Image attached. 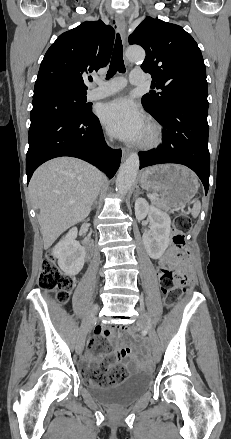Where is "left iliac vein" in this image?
<instances>
[{
	"label": "left iliac vein",
	"mask_w": 231,
	"mask_h": 439,
	"mask_svg": "<svg viewBox=\"0 0 231 439\" xmlns=\"http://www.w3.org/2000/svg\"><path fill=\"white\" fill-rule=\"evenodd\" d=\"M139 317H138V325L147 329L149 333V340L152 348V356L155 362H157L160 358V341L158 335L152 326L148 314L144 307H138Z\"/></svg>",
	"instance_id": "1"
}]
</instances>
